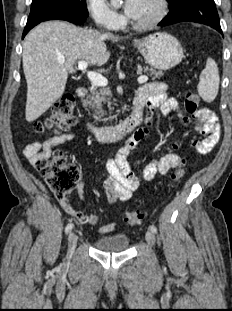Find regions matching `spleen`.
Segmentation results:
<instances>
[{
    "instance_id": "obj_1",
    "label": "spleen",
    "mask_w": 232,
    "mask_h": 311,
    "mask_svg": "<svg viewBox=\"0 0 232 311\" xmlns=\"http://www.w3.org/2000/svg\"><path fill=\"white\" fill-rule=\"evenodd\" d=\"M219 82L217 64L212 58H208L205 69L200 74V81L197 86L200 97L206 102H212L218 94Z\"/></svg>"
}]
</instances>
